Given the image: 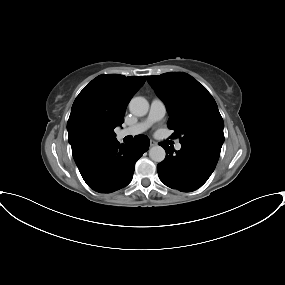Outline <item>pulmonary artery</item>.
I'll list each match as a JSON object with an SVG mask.
<instances>
[{"instance_id": "1", "label": "pulmonary artery", "mask_w": 285, "mask_h": 285, "mask_svg": "<svg viewBox=\"0 0 285 285\" xmlns=\"http://www.w3.org/2000/svg\"><path fill=\"white\" fill-rule=\"evenodd\" d=\"M166 114V106L165 103L159 99L154 98L151 101L150 109L148 116L142 120L141 122H138L137 124L121 129L118 133V136L120 138H124L126 136H136L144 131H146L152 124L155 122L160 121ZM182 147V144L180 142H177L175 144V149L180 150Z\"/></svg>"}]
</instances>
